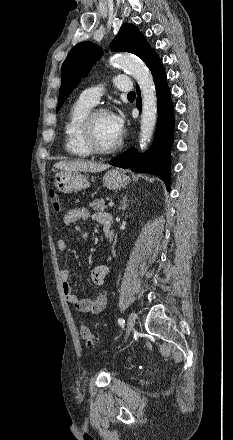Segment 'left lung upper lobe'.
<instances>
[{
  "instance_id": "obj_1",
  "label": "left lung upper lobe",
  "mask_w": 233,
  "mask_h": 440,
  "mask_svg": "<svg viewBox=\"0 0 233 440\" xmlns=\"http://www.w3.org/2000/svg\"><path fill=\"white\" fill-rule=\"evenodd\" d=\"M111 47L114 51H126L137 55L146 65L156 54V52L150 48L137 27L129 23H124L121 26ZM101 54L102 49L91 42L78 43L71 49L61 68L62 83L57 111L62 106L64 100L77 86L80 79L87 75L91 66L100 58Z\"/></svg>"
}]
</instances>
